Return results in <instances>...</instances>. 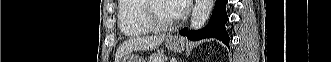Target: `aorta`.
Segmentation results:
<instances>
[{"mask_svg": "<svg viewBox=\"0 0 331 62\" xmlns=\"http://www.w3.org/2000/svg\"><path fill=\"white\" fill-rule=\"evenodd\" d=\"M214 0H196L192 11L190 27L192 30H199L208 20Z\"/></svg>", "mask_w": 331, "mask_h": 62, "instance_id": "762f6f07", "label": "aorta"}]
</instances>
